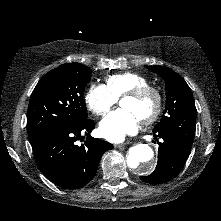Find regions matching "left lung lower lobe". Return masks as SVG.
<instances>
[{
    "mask_svg": "<svg viewBox=\"0 0 221 221\" xmlns=\"http://www.w3.org/2000/svg\"><path fill=\"white\" fill-rule=\"evenodd\" d=\"M155 140L159 145L158 163L154 172L140 179L150 184L165 183L174 178L183 168L191 152V145L171 132H155Z\"/></svg>",
    "mask_w": 221,
    "mask_h": 221,
    "instance_id": "left-lung-lower-lobe-1",
    "label": "left lung lower lobe"
}]
</instances>
